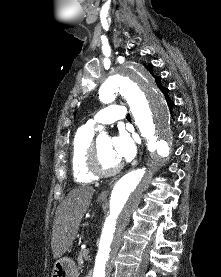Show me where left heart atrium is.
<instances>
[{"label":"left heart atrium","instance_id":"obj_1","mask_svg":"<svg viewBox=\"0 0 221 277\" xmlns=\"http://www.w3.org/2000/svg\"><path fill=\"white\" fill-rule=\"evenodd\" d=\"M114 154L119 161H129L135 155V146L126 134H120L111 139Z\"/></svg>","mask_w":221,"mask_h":277}]
</instances>
